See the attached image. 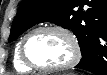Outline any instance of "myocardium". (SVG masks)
I'll return each mask as SVG.
<instances>
[{
    "label": "myocardium",
    "mask_w": 107,
    "mask_h": 75,
    "mask_svg": "<svg viewBox=\"0 0 107 75\" xmlns=\"http://www.w3.org/2000/svg\"><path fill=\"white\" fill-rule=\"evenodd\" d=\"M44 31L59 33L69 41L72 49V56L68 62L62 65H56V66H42L34 63L29 59L26 53V46L29 39L36 33L44 32ZM20 57L23 63L31 69L38 70V71H61V70L69 69L75 66L79 62L81 58V47L77 37L69 29L61 25L48 24V25H42L32 29L22 38V41L20 44Z\"/></svg>",
    "instance_id": "1"
}]
</instances>
